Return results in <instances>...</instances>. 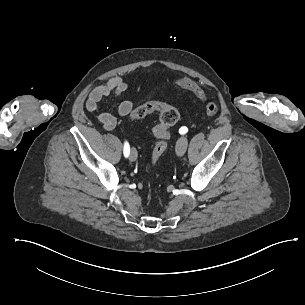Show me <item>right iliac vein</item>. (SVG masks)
Instances as JSON below:
<instances>
[{
    "label": "right iliac vein",
    "instance_id": "1",
    "mask_svg": "<svg viewBox=\"0 0 305 305\" xmlns=\"http://www.w3.org/2000/svg\"><path fill=\"white\" fill-rule=\"evenodd\" d=\"M129 158L131 161H135L137 159V151L134 148L131 149Z\"/></svg>",
    "mask_w": 305,
    "mask_h": 305
}]
</instances>
